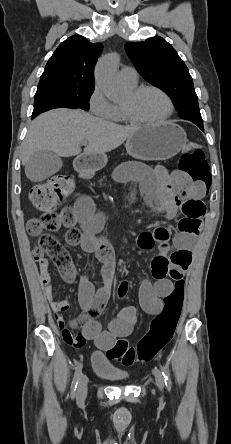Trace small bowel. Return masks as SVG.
I'll use <instances>...</instances> for the list:
<instances>
[{
    "label": "small bowel",
    "instance_id": "c3829d8e",
    "mask_svg": "<svg viewBox=\"0 0 231 444\" xmlns=\"http://www.w3.org/2000/svg\"><path fill=\"white\" fill-rule=\"evenodd\" d=\"M112 177L118 182L130 184V194H134L133 184L137 183L147 203L160 211L167 219L176 216L180 207L188 201L200 202L205 193V184L191 182L186 179H173L162 166L149 167L137 163H125L117 167ZM71 222L64 224L68 229L66 241L71 246H80L85 252L95 254L103 266L104 285L95 290L84 274L79 283V303L82 309L80 316L67 322L63 313L69 308L67 299L56 301L53 296L52 279L48 271V260L39 251L34 252L44 295L54 312L64 340L73 347H82L87 340L93 341L100 350H109L120 338L129 336L138 322V312L132 306L120 309L116 318L109 321L107 329H103L97 317L106 306L111 293L114 271L115 253L109 241L97 235L104 222V216L95 212L92 199L80 196L73 208ZM80 226L79 229L75 225ZM159 230V229H158ZM143 232L138 236L137 244L143 250H151L156 243L158 254L152 259L151 274L154 282L144 280L139 288V303L144 312L150 315L161 313L164 299L173 291L174 282L183 276L192 261V245L194 234L181 233L174 240L173 252H170L168 234ZM128 283L122 281L118 287L119 297H124ZM81 331L74 332L76 326Z\"/></svg>",
    "mask_w": 231,
    "mask_h": 444
}]
</instances>
